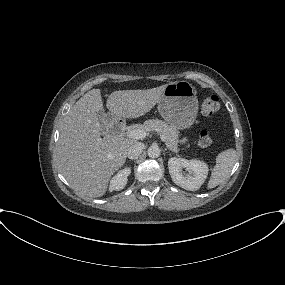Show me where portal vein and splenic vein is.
Instances as JSON below:
<instances>
[{
    "label": "portal vein and splenic vein",
    "instance_id": "18ae733b",
    "mask_svg": "<svg viewBox=\"0 0 285 285\" xmlns=\"http://www.w3.org/2000/svg\"><path fill=\"white\" fill-rule=\"evenodd\" d=\"M126 136L132 139H143L147 136V131L142 128H131L126 132ZM160 138L163 142H165L166 138L164 135H160Z\"/></svg>",
    "mask_w": 285,
    "mask_h": 285
}]
</instances>
